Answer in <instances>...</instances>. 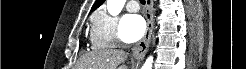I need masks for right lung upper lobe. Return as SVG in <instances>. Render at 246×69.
<instances>
[{"instance_id":"cb5924a9","label":"right lung upper lobe","mask_w":246,"mask_h":69,"mask_svg":"<svg viewBox=\"0 0 246 69\" xmlns=\"http://www.w3.org/2000/svg\"><path fill=\"white\" fill-rule=\"evenodd\" d=\"M105 0H96V2L94 3V5L92 6L91 12L96 10L100 5L103 4Z\"/></svg>"}]
</instances>
